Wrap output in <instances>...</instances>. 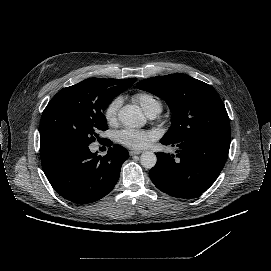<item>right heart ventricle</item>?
<instances>
[{
	"label": "right heart ventricle",
	"mask_w": 271,
	"mask_h": 271,
	"mask_svg": "<svg viewBox=\"0 0 271 271\" xmlns=\"http://www.w3.org/2000/svg\"><path fill=\"white\" fill-rule=\"evenodd\" d=\"M132 98L141 105L146 113L156 115L162 110V102L150 92L139 91L134 93Z\"/></svg>",
	"instance_id": "e07e8e85"
}]
</instances>
